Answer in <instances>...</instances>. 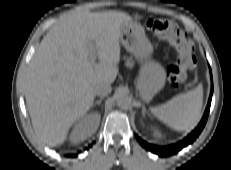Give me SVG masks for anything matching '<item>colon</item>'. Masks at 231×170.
<instances>
[{
  "label": "colon",
  "instance_id": "5ec220e1",
  "mask_svg": "<svg viewBox=\"0 0 231 170\" xmlns=\"http://www.w3.org/2000/svg\"><path fill=\"white\" fill-rule=\"evenodd\" d=\"M146 28L153 34L166 40L178 52L175 66L171 69L168 80L176 87L185 77L186 70L192 62L191 43L185 34L171 21L165 19H149Z\"/></svg>",
  "mask_w": 231,
  "mask_h": 170
}]
</instances>
